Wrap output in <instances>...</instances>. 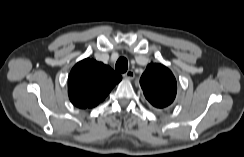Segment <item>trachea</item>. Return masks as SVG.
Returning a JSON list of instances; mask_svg holds the SVG:
<instances>
[{
  "label": "trachea",
  "mask_w": 244,
  "mask_h": 157,
  "mask_svg": "<svg viewBox=\"0 0 244 157\" xmlns=\"http://www.w3.org/2000/svg\"><path fill=\"white\" fill-rule=\"evenodd\" d=\"M115 69L119 73H125L128 69V61L126 58L121 57L117 60Z\"/></svg>",
  "instance_id": "1"
}]
</instances>
